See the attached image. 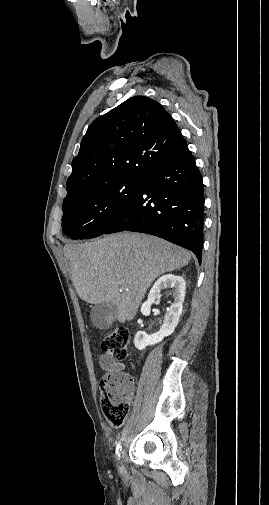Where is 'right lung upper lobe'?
Returning <instances> with one entry per match:
<instances>
[{"label":"right lung upper lobe","mask_w":269,"mask_h":505,"mask_svg":"<svg viewBox=\"0 0 269 505\" xmlns=\"http://www.w3.org/2000/svg\"><path fill=\"white\" fill-rule=\"evenodd\" d=\"M187 148L173 118L153 99L134 96L94 120L72 161L64 200L93 186L140 180Z\"/></svg>","instance_id":"right-lung-upper-lobe-1"}]
</instances>
